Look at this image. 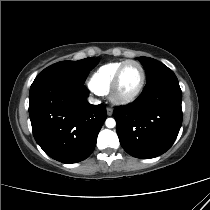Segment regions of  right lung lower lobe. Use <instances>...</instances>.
Masks as SVG:
<instances>
[{
	"instance_id": "obj_1",
	"label": "right lung lower lobe",
	"mask_w": 210,
	"mask_h": 210,
	"mask_svg": "<svg viewBox=\"0 0 210 210\" xmlns=\"http://www.w3.org/2000/svg\"><path fill=\"white\" fill-rule=\"evenodd\" d=\"M83 83L67 79L34 81L29 115L34 138L43 151L62 163L80 162L93 152L107 117L103 104L87 101Z\"/></svg>"
}]
</instances>
